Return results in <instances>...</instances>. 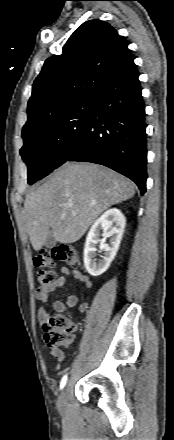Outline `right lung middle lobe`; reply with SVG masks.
I'll return each instance as SVG.
<instances>
[{
  "mask_svg": "<svg viewBox=\"0 0 174 440\" xmlns=\"http://www.w3.org/2000/svg\"><path fill=\"white\" fill-rule=\"evenodd\" d=\"M92 105V96L85 97L23 130L20 154L28 166L29 184L66 161L87 128Z\"/></svg>",
  "mask_w": 174,
  "mask_h": 440,
  "instance_id": "1",
  "label": "right lung middle lobe"
}]
</instances>
